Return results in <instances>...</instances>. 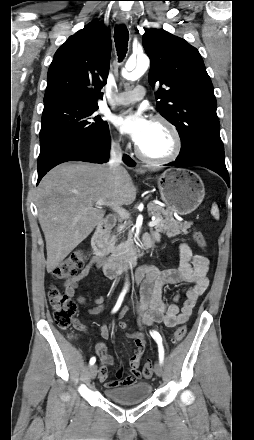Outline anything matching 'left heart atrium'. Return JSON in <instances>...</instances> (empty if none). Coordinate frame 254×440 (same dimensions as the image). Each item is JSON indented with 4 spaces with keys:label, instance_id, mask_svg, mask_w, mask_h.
Segmentation results:
<instances>
[{
    "label": "left heart atrium",
    "instance_id": "1",
    "mask_svg": "<svg viewBox=\"0 0 254 440\" xmlns=\"http://www.w3.org/2000/svg\"><path fill=\"white\" fill-rule=\"evenodd\" d=\"M114 125L140 145L147 137L153 121L141 111L127 110L114 118Z\"/></svg>",
    "mask_w": 254,
    "mask_h": 440
}]
</instances>
